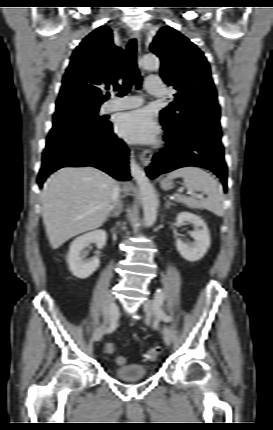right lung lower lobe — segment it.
I'll return each instance as SVG.
<instances>
[{
  "instance_id": "obj_1",
  "label": "right lung lower lobe",
  "mask_w": 273,
  "mask_h": 430,
  "mask_svg": "<svg viewBox=\"0 0 273 430\" xmlns=\"http://www.w3.org/2000/svg\"><path fill=\"white\" fill-rule=\"evenodd\" d=\"M129 150L113 134L112 126L98 134L46 147L38 184L62 167L93 166L118 180H130L128 169Z\"/></svg>"
}]
</instances>
